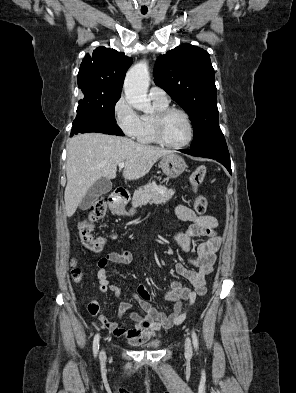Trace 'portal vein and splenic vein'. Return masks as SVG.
<instances>
[{
    "instance_id": "portal-vein-and-splenic-vein-1",
    "label": "portal vein and splenic vein",
    "mask_w": 296,
    "mask_h": 393,
    "mask_svg": "<svg viewBox=\"0 0 296 393\" xmlns=\"http://www.w3.org/2000/svg\"><path fill=\"white\" fill-rule=\"evenodd\" d=\"M118 166H119L120 169H122V168H124L125 163H124V162H120V163L118 164Z\"/></svg>"
}]
</instances>
